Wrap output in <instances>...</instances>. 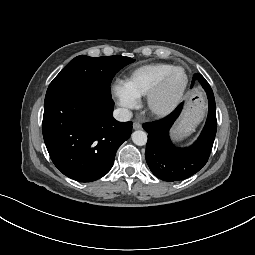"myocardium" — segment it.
<instances>
[{
    "label": "myocardium",
    "mask_w": 255,
    "mask_h": 255,
    "mask_svg": "<svg viewBox=\"0 0 255 255\" xmlns=\"http://www.w3.org/2000/svg\"><path fill=\"white\" fill-rule=\"evenodd\" d=\"M181 71L184 74V82L181 87L173 94V96L165 103L161 102V98L165 93L168 82L172 75ZM189 84V77L186 70L181 66H175L163 78L147 95V105L149 110L157 116H166L173 112L182 100L185 91Z\"/></svg>",
    "instance_id": "myocardium-1"
}]
</instances>
